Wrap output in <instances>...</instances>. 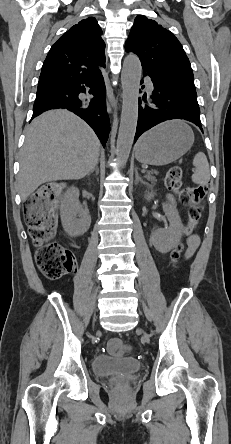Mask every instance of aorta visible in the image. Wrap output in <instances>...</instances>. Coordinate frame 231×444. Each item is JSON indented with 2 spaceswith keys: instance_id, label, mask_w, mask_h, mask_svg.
<instances>
[{
  "instance_id": "1",
  "label": "aorta",
  "mask_w": 231,
  "mask_h": 444,
  "mask_svg": "<svg viewBox=\"0 0 231 444\" xmlns=\"http://www.w3.org/2000/svg\"><path fill=\"white\" fill-rule=\"evenodd\" d=\"M142 67L136 55H127L123 62L122 89L123 102L119 133L117 138V158L124 166L134 141L138 121V97Z\"/></svg>"
}]
</instances>
